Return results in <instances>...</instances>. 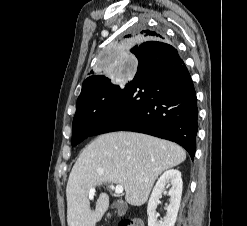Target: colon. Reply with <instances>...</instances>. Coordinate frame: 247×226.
Returning <instances> with one entry per match:
<instances>
[{
	"mask_svg": "<svg viewBox=\"0 0 247 226\" xmlns=\"http://www.w3.org/2000/svg\"><path fill=\"white\" fill-rule=\"evenodd\" d=\"M118 226H144L143 222L137 218L122 220Z\"/></svg>",
	"mask_w": 247,
	"mask_h": 226,
	"instance_id": "5ec220e1",
	"label": "colon"
}]
</instances>
